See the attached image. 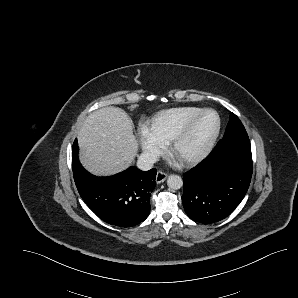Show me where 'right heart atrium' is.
<instances>
[{
  "label": "right heart atrium",
  "instance_id": "right-heart-atrium-1",
  "mask_svg": "<svg viewBox=\"0 0 298 298\" xmlns=\"http://www.w3.org/2000/svg\"><path fill=\"white\" fill-rule=\"evenodd\" d=\"M142 139V146L145 149L153 150L158 156L164 153V136L156 128L143 125L136 132Z\"/></svg>",
  "mask_w": 298,
  "mask_h": 298
}]
</instances>
